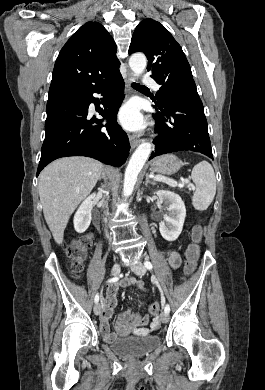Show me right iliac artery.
I'll return each mask as SVG.
<instances>
[{
	"label": "right iliac artery",
	"mask_w": 265,
	"mask_h": 390,
	"mask_svg": "<svg viewBox=\"0 0 265 390\" xmlns=\"http://www.w3.org/2000/svg\"><path fill=\"white\" fill-rule=\"evenodd\" d=\"M118 280H119L118 277H113V278L109 279L107 282H108V283H113V282H117ZM98 301H99V294L97 293V294L95 295L94 302H95V303H98Z\"/></svg>",
	"instance_id": "1"
}]
</instances>
